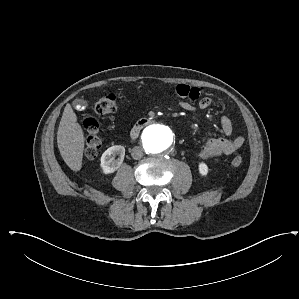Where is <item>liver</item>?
I'll return each mask as SVG.
<instances>
[{"label":"liver","instance_id":"liver-1","mask_svg":"<svg viewBox=\"0 0 299 299\" xmlns=\"http://www.w3.org/2000/svg\"><path fill=\"white\" fill-rule=\"evenodd\" d=\"M57 144L67 166L73 171H79L82 167L85 137L70 104L66 105L59 124Z\"/></svg>","mask_w":299,"mask_h":299}]
</instances>
